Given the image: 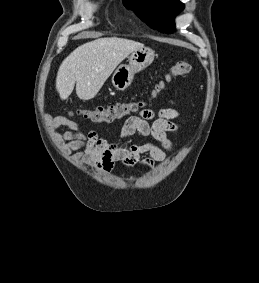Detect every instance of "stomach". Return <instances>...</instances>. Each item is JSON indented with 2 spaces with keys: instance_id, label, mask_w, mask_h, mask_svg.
I'll return each instance as SVG.
<instances>
[{
  "instance_id": "obj_1",
  "label": "stomach",
  "mask_w": 259,
  "mask_h": 283,
  "mask_svg": "<svg viewBox=\"0 0 259 283\" xmlns=\"http://www.w3.org/2000/svg\"><path fill=\"white\" fill-rule=\"evenodd\" d=\"M152 49L142 47L128 57V64L120 65L112 75V83L118 90H125L133 81L134 75L149 66L154 60Z\"/></svg>"
}]
</instances>
